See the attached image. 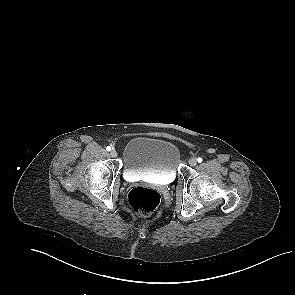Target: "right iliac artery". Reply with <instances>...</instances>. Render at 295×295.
I'll return each mask as SVG.
<instances>
[{
    "label": "right iliac artery",
    "instance_id": "82829eb1",
    "mask_svg": "<svg viewBox=\"0 0 295 295\" xmlns=\"http://www.w3.org/2000/svg\"><path fill=\"white\" fill-rule=\"evenodd\" d=\"M106 150L107 151H111V147L110 146H107Z\"/></svg>",
    "mask_w": 295,
    "mask_h": 295
}]
</instances>
